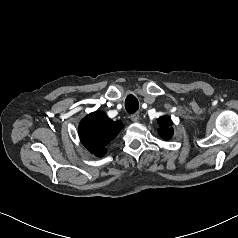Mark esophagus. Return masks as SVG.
Returning <instances> with one entry per match:
<instances>
[{"instance_id": "esophagus-1", "label": "esophagus", "mask_w": 238, "mask_h": 238, "mask_svg": "<svg viewBox=\"0 0 238 238\" xmlns=\"http://www.w3.org/2000/svg\"><path fill=\"white\" fill-rule=\"evenodd\" d=\"M139 117H140L139 112H136L130 116V118L133 122H138Z\"/></svg>"}]
</instances>
